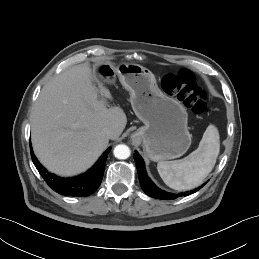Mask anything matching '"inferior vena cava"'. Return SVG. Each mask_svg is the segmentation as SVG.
<instances>
[{
  "mask_svg": "<svg viewBox=\"0 0 259 259\" xmlns=\"http://www.w3.org/2000/svg\"><path fill=\"white\" fill-rule=\"evenodd\" d=\"M104 134H105L109 139H112V138L115 136L116 132H115L114 129H112V128H106V129H104Z\"/></svg>",
  "mask_w": 259,
  "mask_h": 259,
  "instance_id": "obj_1",
  "label": "inferior vena cava"
}]
</instances>
